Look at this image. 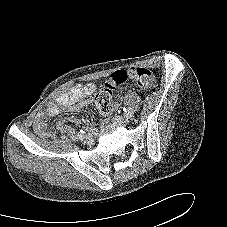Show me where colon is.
I'll return each mask as SVG.
<instances>
[{
    "mask_svg": "<svg viewBox=\"0 0 227 227\" xmlns=\"http://www.w3.org/2000/svg\"><path fill=\"white\" fill-rule=\"evenodd\" d=\"M128 79L134 80L142 89H150L156 85L155 75L147 68L131 67L117 70L111 74L105 86L95 96V104L101 112L109 111L112 105V90Z\"/></svg>",
    "mask_w": 227,
    "mask_h": 227,
    "instance_id": "1",
    "label": "colon"
}]
</instances>
